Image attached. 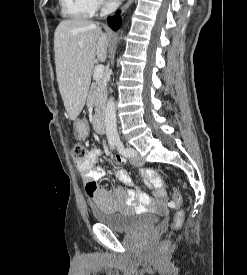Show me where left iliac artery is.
<instances>
[{
  "label": "left iliac artery",
  "instance_id": "obj_1",
  "mask_svg": "<svg viewBox=\"0 0 247 275\" xmlns=\"http://www.w3.org/2000/svg\"><path fill=\"white\" fill-rule=\"evenodd\" d=\"M114 142L120 154H122L125 157L134 156V151L131 148H125L119 138L115 139Z\"/></svg>",
  "mask_w": 247,
  "mask_h": 275
}]
</instances>
